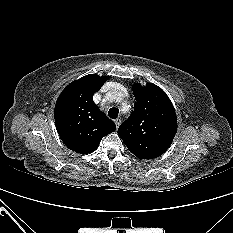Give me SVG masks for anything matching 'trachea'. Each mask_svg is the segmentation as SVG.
I'll use <instances>...</instances> for the list:
<instances>
[{
    "mask_svg": "<svg viewBox=\"0 0 233 233\" xmlns=\"http://www.w3.org/2000/svg\"><path fill=\"white\" fill-rule=\"evenodd\" d=\"M118 114H119V109L115 107L110 108V110L108 111V116L111 119H116L118 117Z\"/></svg>",
    "mask_w": 233,
    "mask_h": 233,
    "instance_id": "obj_1",
    "label": "trachea"
}]
</instances>
